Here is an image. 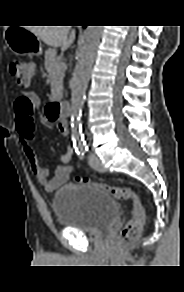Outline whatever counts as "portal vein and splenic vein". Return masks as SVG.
Returning a JSON list of instances; mask_svg holds the SVG:
<instances>
[{"label": "portal vein and splenic vein", "mask_w": 184, "mask_h": 292, "mask_svg": "<svg viewBox=\"0 0 184 292\" xmlns=\"http://www.w3.org/2000/svg\"><path fill=\"white\" fill-rule=\"evenodd\" d=\"M60 69H66V64L65 63H62L60 66H59Z\"/></svg>", "instance_id": "1"}]
</instances>
